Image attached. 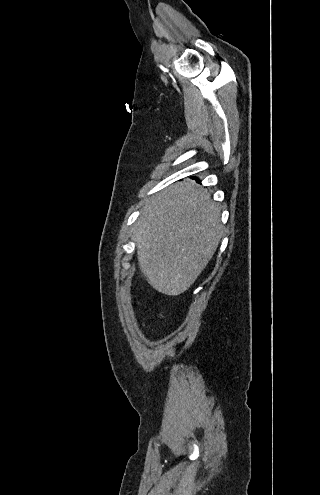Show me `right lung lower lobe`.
<instances>
[{
  "mask_svg": "<svg viewBox=\"0 0 320 495\" xmlns=\"http://www.w3.org/2000/svg\"><path fill=\"white\" fill-rule=\"evenodd\" d=\"M193 178H194V177H193ZM195 179H196V178H195ZM196 180H197V182H199V180H198V179H196Z\"/></svg>",
  "mask_w": 320,
  "mask_h": 495,
  "instance_id": "obj_1",
  "label": "right lung lower lobe"
}]
</instances>
